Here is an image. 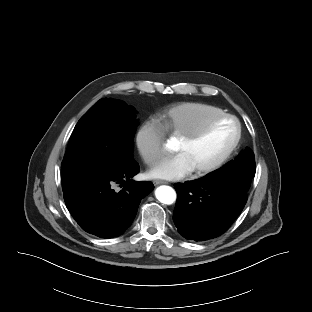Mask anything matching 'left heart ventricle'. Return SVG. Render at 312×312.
Listing matches in <instances>:
<instances>
[{"mask_svg": "<svg viewBox=\"0 0 312 312\" xmlns=\"http://www.w3.org/2000/svg\"><path fill=\"white\" fill-rule=\"evenodd\" d=\"M237 134L234 121L223 119L214 123L197 141L186 143L180 140L176 151L184 154L193 169L208 166L219 159L230 147Z\"/></svg>", "mask_w": 312, "mask_h": 312, "instance_id": "left-heart-ventricle-1", "label": "left heart ventricle"}]
</instances>
